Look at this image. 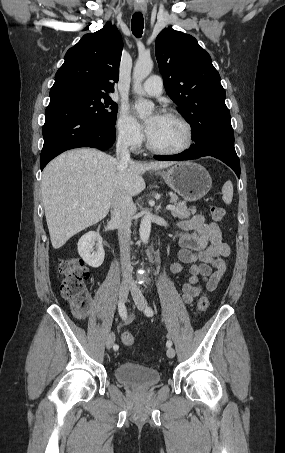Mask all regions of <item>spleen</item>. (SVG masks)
<instances>
[{"mask_svg": "<svg viewBox=\"0 0 285 453\" xmlns=\"http://www.w3.org/2000/svg\"><path fill=\"white\" fill-rule=\"evenodd\" d=\"M233 199V184L230 180L226 181L222 187V200L230 204Z\"/></svg>", "mask_w": 285, "mask_h": 453, "instance_id": "obj_1", "label": "spleen"}]
</instances>
